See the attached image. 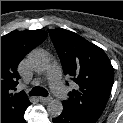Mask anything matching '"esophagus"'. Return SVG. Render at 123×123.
<instances>
[{
    "label": "esophagus",
    "mask_w": 123,
    "mask_h": 123,
    "mask_svg": "<svg viewBox=\"0 0 123 123\" xmlns=\"http://www.w3.org/2000/svg\"><path fill=\"white\" fill-rule=\"evenodd\" d=\"M39 100L40 102L48 103L52 100V98L51 97H40Z\"/></svg>",
    "instance_id": "esophagus-1"
}]
</instances>
